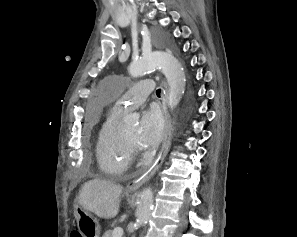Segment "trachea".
<instances>
[{
    "mask_svg": "<svg viewBox=\"0 0 297 237\" xmlns=\"http://www.w3.org/2000/svg\"><path fill=\"white\" fill-rule=\"evenodd\" d=\"M156 94H157V96H160V94H161V89H158V90L156 91Z\"/></svg>",
    "mask_w": 297,
    "mask_h": 237,
    "instance_id": "obj_1",
    "label": "trachea"
}]
</instances>
